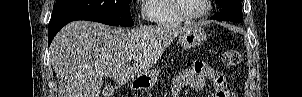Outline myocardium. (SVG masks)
<instances>
[{
	"label": "myocardium",
	"mask_w": 302,
	"mask_h": 97,
	"mask_svg": "<svg viewBox=\"0 0 302 97\" xmlns=\"http://www.w3.org/2000/svg\"><path fill=\"white\" fill-rule=\"evenodd\" d=\"M211 0H205V9L197 15H188L182 9L180 5V0H173V8L176 13L185 21H196L209 14L211 11Z\"/></svg>",
	"instance_id": "obj_1"
}]
</instances>
